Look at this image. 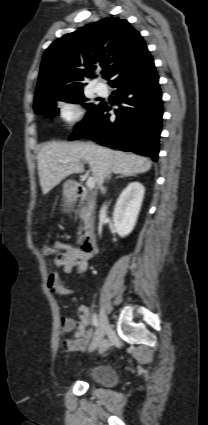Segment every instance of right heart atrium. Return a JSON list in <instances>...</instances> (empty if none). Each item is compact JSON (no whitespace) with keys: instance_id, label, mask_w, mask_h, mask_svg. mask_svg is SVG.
Returning <instances> with one entry per match:
<instances>
[{"instance_id":"obj_1","label":"right heart atrium","mask_w":208,"mask_h":425,"mask_svg":"<svg viewBox=\"0 0 208 425\" xmlns=\"http://www.w3.org/2000/svg\"><path fill=\"white\" fill-rule=\"evenodd\" d=\"M61 118L68 124H76L82 118L81 110L74 104L65 103L60 109Z\"/></svg>"}]
</instances>
